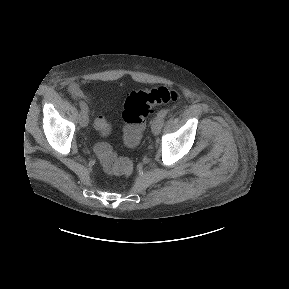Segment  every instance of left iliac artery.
Returning a JSON list of instances; mask_svg holds the SVG:
<instances>
[{
  "label": "left iliac artery",
  "instance_id": "left-iliac-artery-1",
  "mask_svg": "<svg viewBox=\"0 0 289 289\" xmlns=\"http://www.w3.org/2000/svg\"><path fill=\"white\" fill-rule=\"evenodd\" d=\"M168 113H169L168 109H163L157 115L160 116L161 118H165V116H167Z\"/></svg>",
  "mask_w": 289,
  "mask_h": 289
}]
</instances>
